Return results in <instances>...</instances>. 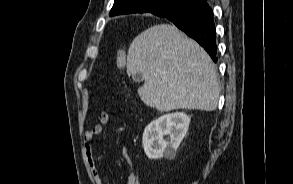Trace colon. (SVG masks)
Masks as SVG:
<instances>
[{"instance_id":"colon-1","label":"colon","mask_w":293,"mask_h":184,"mask_svg":"<svg viewBox=\"0 0 293 184\" xmlns=\"http://www.w3.org/2000/svg\"><path fill=\"white\" fill-rule=\"evenodd\" d=\"M116 62L117 66L120 69H124L126 66V55L123 50H117L116 51Z\"/></svg>"}]
</instances>
